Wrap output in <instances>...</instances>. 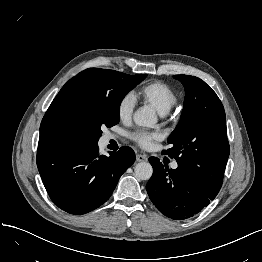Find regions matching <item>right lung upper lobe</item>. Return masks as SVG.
<instances>
[{
    "instance_id": "obj_1",
    "label": "right lung upper lobe",
    "mask_w": 262,
    "mask_h": 262,
    "mask_svg": "<svg viewBox=\"0 0 262 262\" xmlns=\"http://www.w3.org/2000/svg\"><path fill=\"white\" fill-rule=\"evenodd\" d=\"M112 70L89 68L70 79L57 94L46 111L41 125L40 138H64L61 126V111L67 103L75 83L82 80H106Z\"/></svg>"
}]
</instances>
